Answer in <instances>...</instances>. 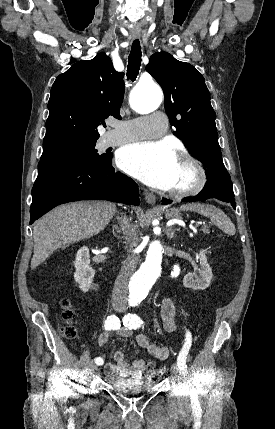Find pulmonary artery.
<instances>
[{"mask_svg":"<svg viewBox=\"0 0 275 429\" xmlns=\"http://www.w3.org/2000/svg\"><path fill=\"white\" fill-rule=\"evenodd\" d=\"M166 127V116L161 112L119 121L114 124L115 129L105 137V144L113 146L138 139L160 137L165 133Z\"/></svg>","mask_w":275,"mask_h":429,"instance_id":"e3ab8cb5","label":"pulmonary artery"}]
</instances>
